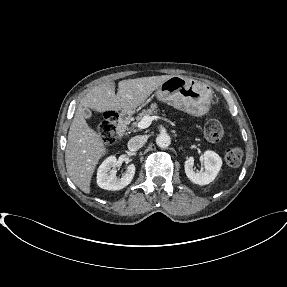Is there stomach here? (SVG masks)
<instances>
[{"instance_id":"1","label":"stomach","mask_w":287,"mask_h":287,"mask_svg":"<svg viewBox=\"0 0 287 287\" xmlns=\"http://www.w3.org/2000/svg\"><path fill=\"white\" fill-rule=\"evenodd\" d=\"M156 97L194 116L206 114L212 102V90L204 82L183 76H172L155 91Z\"/></svg>"}]
</instances>
